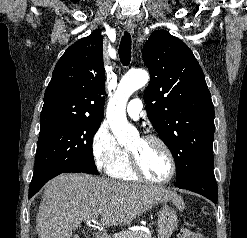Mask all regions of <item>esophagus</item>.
<instances>
[{
	"label": "esophagus",
	"instance_id": "1",
	"mask_svg": "<svg viewBox=\"0 0 247 238\" xmlns=\"http://www.w3.org/2000/svg\"><path fill=\"white\" fill-rule=\"evenodd\" d=\"M125 28L129 31L132 32L134 29V23L132 20H126L125 21Z\"/></svg>",
	"mask_w": 247,
	"mask_h": 238
}]
</instances>
